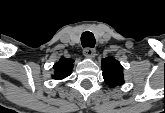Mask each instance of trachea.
<instances>
[{
    "label": "trachea",
    "instance_id": "obj_1",
    "mask_svg": "<svg viewBox=\"0 0 165 113\" xmlns=\"http://www.w3.org/2000/svg\"><path fill=\"white\" fill-rule=\"evenodd\" d=\"M81 43L83 47H94L95 46V37L94 35L86 31L81 35Z\"/></svg>",
    "mask_w": 165,
    "mask_h": 113
}]
</instances>
